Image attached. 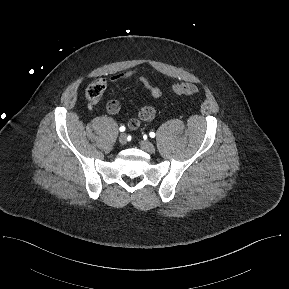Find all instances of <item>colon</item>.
Segmentation results:
<instances>
[{
  "instance_id": "5ec220e1",
  "label": "colon",
  "mask_w": 289,
  "mask_h": 289,
  "mask_svg": "<svg viewBox=\"0 0 289 289\" xmlns=\"http://www.w3.org/2000/svg\"><path fill=\"white\" fill-rule=\"evenodd\" d=\"M106 83L102 79L93 81L86 89V97L89 101L96 103L101 100L105 92ZM174 92L182 96H192L199 92V88L195 84L181 83L174 87ZM114 109V105L109 106Z\"/></svg>"
}]
</instances>
